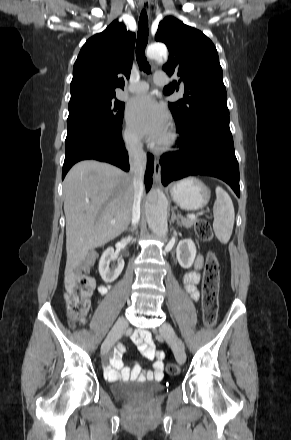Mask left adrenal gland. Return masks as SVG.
<instances>
[{"instance_id": "left-adrenal-gland-1", "label": "left adrenal gland", "mask_w": 291, "mask_h": 440, "mask_svg": "<svg viewBox=\"0 0 291 440\" xmlns=\"http://www.w3.org/2000/svg\"><path fill=\"white\" fill-rule=\"evenodd\" d=\"M175 220L177 221L178 225H181L179 217L175 214L174 211H172L171 221L174 222Z\"/></svg>"}]
</instances>
